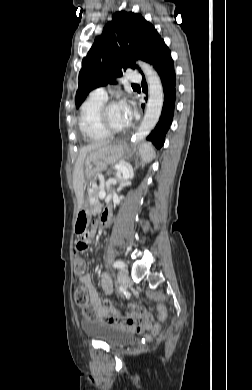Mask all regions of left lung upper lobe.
Returning a JSON list of instances; mask_svg holds the SVG:
<instances>
[{
    "mask_svg": "<svg viewBox=\"0 0 252 390\" xmlns=\"http://www.w3.org/2000/svg\"><path fill=\"white\" fill-rule=\"evenodd\" d=\"M161 40L154 26L141 14L116 12L82 61L76 107L93 89L108 83L114 84L115 77H121L123 70L137 68V59L149 63Z\"/></svg>",
    "mask_w": 252,
    "mask_h": 390,
    "instance_id": "left-lung-upper-lobe-1",
    "label": "left lung upper lobe"
}]
</instances>
